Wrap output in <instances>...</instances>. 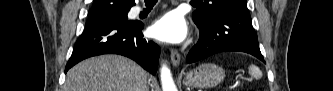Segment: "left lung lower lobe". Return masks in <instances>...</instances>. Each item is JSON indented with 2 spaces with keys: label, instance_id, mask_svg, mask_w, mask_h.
<instances>
[{
  "label": "left lung lower lobe",
  "instance_id": "left-lung-lower-lobe-1",
  "mask_svg": "<svg viewBox=\"0 0 333 91\" xmlns=\"http://www.w3.org/2000/svg\"><path fill=\"white\" fill-rule=\"evenodd\" d=\"M198 28L200 39L190 50L188 63L228 51L246 52L264 62L247 8L222 10Z\"/></svg>",
  "mask_w": 333,
  "mask_h": 91
}]
</instances>
